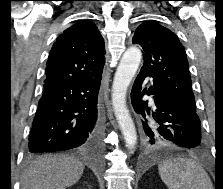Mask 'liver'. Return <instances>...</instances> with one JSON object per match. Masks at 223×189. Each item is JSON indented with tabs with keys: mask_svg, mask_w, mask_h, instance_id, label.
<instances>
[{
	"mask_svg": "<svg viewBox=\"0 0 223 189\" xmlns=\"http://www.w3.org/2000/svg\"><path fill=\"white\" fill-rule=\"evenodd\" d=\"M83 170V163L70 156L40 157L24 170L21 189H65L78 182Z\"/></svg>",
	"mask_w": 223,
	"mask_h": 189,
	"instance_id": "liver-1",
	"label": "liver"
}]
</instances>
